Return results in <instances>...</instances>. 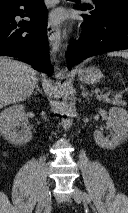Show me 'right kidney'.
Segmentation results:
<instances>
[{"label": "right kidney", "mask_w": 128, "mask_h": 213, "mask_svg": "<svg viewBox=\"0 0 128 213\" xmlns=\"http://www.w3.org/2000/svg\"><path fill=\"white\" fill-rule=\"evenodd\" d=\"M18 128L21 130L18 131ZM0 132L15 145H24L31 140L32 132L23 105H13L0 113Z\"/></svg>", "instance_id": "ca27d5eb"}]
</instances>
